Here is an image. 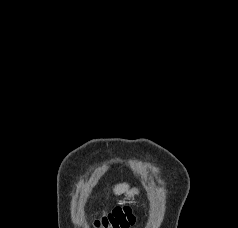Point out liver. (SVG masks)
Masks as SVG:
<instances>
[{
    "label": "liver",
    "mask_w": 238,
    "mask_h": 228,
    "mask_svg": "<svg viewBox=\"0 0 238 228\" xmlns=\"http://www.w3.org/2000/svg\"><path fill=\"white\" fill-rule=\"evenodd\" d=\"M127 190H128V184H126V183L118 184L113 189V191L116 195H121L122 193L126 192Z\"/></svg>",
    "instance_id": "6515ba94"
}]
</instances>
